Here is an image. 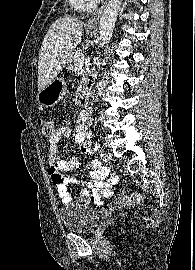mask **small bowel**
<instances>
[{"instance_id": "small-bowel-1", "label": "small bowel", "mask_w": 195, "mask_h": 270, "mask_svg": "<svg viewBox=\"0 0 195 270\" xmlns=\"http://www.w3.org/2000/svg\"><path fill=\"white\" fill-rule=\"evenodd\" d=\"M89 118L86 113H82L78 119L74 142L80 145L81 150L90 157H93L94 151L91 144L90 134L88 132ZM71 133L69 122L66 121L60 126L51 137L48 143L50 148L49 170L48 173L55 186L58 196L62 203L68 204L72 198L67 190L69 184H75L82 187L76 200L78 202H90L101 205V196L111 197L112 188L117 184L118 177L110 169L101 164L97 159H92L88 167V178L83 179L74 176H63V171H74L81 164L76 158L63 160L58 155V145L62 138L69 137Z\"/></svg>"}]
</instances>
